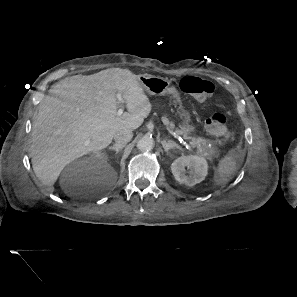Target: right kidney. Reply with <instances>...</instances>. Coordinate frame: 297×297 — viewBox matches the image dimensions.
I'll list each match as a JSON object with an SVG mask.
<instances>
[{
  "mask_svg": "<svg viewBox=\"0 0 297 297\" xmlns=\"http://www.w3.org/2000/svg\"><path fill=\"white\" fill-rule=\"evenodd\" d=\"M94 157L97 158V159H106L107 155H106V153L96 152Z\"/></svg>",
  "mask_w": 297,
  "mask_h": 297,
  "instance_id": "ca27d5eb",
  "label": "right kidney"
}]
</instances>
